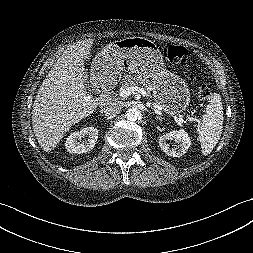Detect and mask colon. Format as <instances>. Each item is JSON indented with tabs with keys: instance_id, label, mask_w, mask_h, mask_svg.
<instances>
[{
	"instance_id": "colon-1",
	"label": "colon",
	"mask_w": 253,
	"mask_h": 253,
	"mask_svg": "<svg viewBox=\"0 0 253 253\" xmlns=\"http://www.w3.org/2000/svg\"><path fill=\"white\" fill-rule=\"evenodd\" d=\"M188 49L183 46L167 44L163 47L164 57L173 65H183L188 60ZM198 95L201 99H206L210 95V89L206 85L200 86Z\"/></svg>"
}]
</instances>
